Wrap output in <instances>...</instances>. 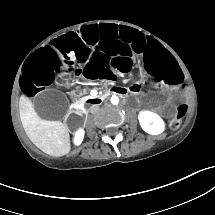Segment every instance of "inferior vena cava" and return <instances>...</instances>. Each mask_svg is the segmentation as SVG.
<instances>
[{"instance_id":"obj_1","label":"inferior vena cava","mask_w":215,"mask_h":215,"mask_svg":"<svg viewBox=\"0 0 215 215\" xmlns=\"http://www.w3.org/2000/svg\"><path fill=\"white\" fill-rule=\"evenodd\" d=\"M99 110V106L98 105H92L90 107V112L91 113H96Z\"/></svg>"}]
</instances>
